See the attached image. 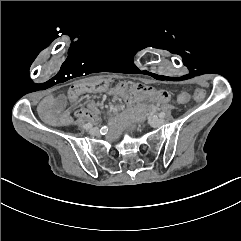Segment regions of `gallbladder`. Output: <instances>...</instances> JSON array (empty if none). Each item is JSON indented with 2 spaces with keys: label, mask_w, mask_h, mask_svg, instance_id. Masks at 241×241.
I'll return each mask as SVG.
<instances>
[{
  "label": "gallbladder",
  "mask_w": 241,
  "mask_h": 241,
  "mask_svg": "<svg viewBox=\"0 0 241 241\" xmlns=\"http://www.w3.org/2000/svg\"><path fill=\"white\" fill-rule=\"evenodd\" d=\"M68 110V97L65 93H57L54 98V111L57 115H64Z\"/></svg>",
  "instance_id": "bac80fb5"
}]
</instances>
